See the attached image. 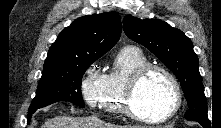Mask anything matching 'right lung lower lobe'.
<instances>
[{"mask_svg": "<svg viewBox=\"0 0 221 128\" xmlns=\"http://www.w3.org/2000/svg\"><path fill=\"white\" fill-rule=\"evenodd\" d=\"M33 113H34V112H33ZM31 116H32V113L29 114L28 123H29V121H30Z\"/></svg>", "mask_w": 221, "mask_h": 128, "instance_id": "1", "label": "right lung lower lobe"}]
</instances>
